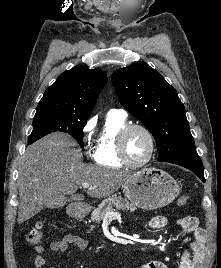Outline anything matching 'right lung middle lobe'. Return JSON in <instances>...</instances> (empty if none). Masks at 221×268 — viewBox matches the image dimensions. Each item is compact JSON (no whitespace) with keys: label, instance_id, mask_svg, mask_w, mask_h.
Masks as SVG:
<instances>
[{"label":"right lung middle lobe","instance_id":"right-lung-middle-lobe-1","mask_svg":"<svg viewBox=\"0 0 221 268\" xmlns=\"http://www.w3.org/2000/svg\"><path fill=\"white\" fill-rule=\"evenodd\" d=\"M88 117L63 111H36L33 131L28 143L32 144L51 132H64L71 135L83 148V128Z\"/></svg>","mask_w":221,"mask_h":268}]
</instances>
